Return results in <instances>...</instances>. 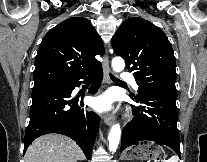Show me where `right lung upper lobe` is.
<instances>
[{"label":"right lung upper lobe","instance_id":"1","mask_svg":"<svg viewBox=\"0 0 207 162\" xmlns=\"http://www.w3.org/2000/svg\"><path fill=\"white\" fill-rule=\"evenodd\" d=\"M103 54L92 24L83 17H70L44 36L35 59L33 89L86 75L101 67L95 56Z\"/></svg>","mask_w":207,"mask_h":162}]
</instances>
